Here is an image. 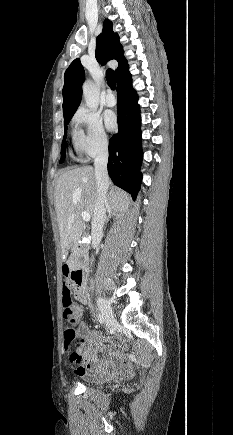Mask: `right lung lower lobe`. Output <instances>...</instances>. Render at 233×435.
Returning <instances> with one entry per match:
<instances>
[{
    "mask_svg": "<svg viewBox=\"0 0 233 435\" xmlns=\"http://www.w3.org/2000/svg\"><path fill=\"white\" fill-rule=\"evenodd\" d=\"M119 132L109 141L108 174L113 183L137 197L142 174L141 118L131 74L117 80Z\"/></svg>",
    "mask_w": 233,
    "mask_h": 435,
    "instance_id": "98d812e1",
    "label": "right lung lower lobe"
}]
</instances>
